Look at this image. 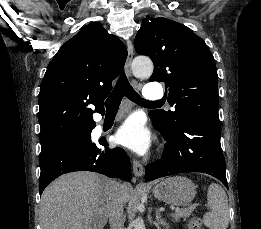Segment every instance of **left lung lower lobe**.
Here are the masks:
<instances>
[{"instance_id": "left-lung-lower-lobe-1", "label": "left lung lower lobe", "mask_w": 261, "mask_h": 229, "mask_svg": "<svg viewBox=\"0 0 261 229\" xmlns=\"http://www.w3.org/2000/svg\"><path fill=\"white\" fill-rule=\"evenodd\" d=\"M153 125L167 143L161 160L146 166V181L178 173L204 172L228 188L219 122L202 116L190 117L173 134L165 133L155 122Z\"/></svg>"}]
</instances>
